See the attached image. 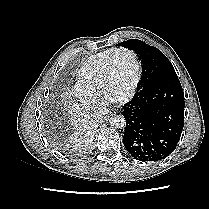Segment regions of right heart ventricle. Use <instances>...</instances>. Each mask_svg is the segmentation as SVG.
Segmentation results:
<instances>
[{"label":"right heart ventricle","mask_w":209,"mask_h":209,"mask_svg":"<svg viewBox=\"0 0 209 209\" xmlns=\"http://www.w3.org/2000/svg\"><path fill=\"white\" fill-rule=\"evenodd\" d=\"M115 49L102 51L86 60L77 72V87L97 97L103 95L104 70Z\"/></svg>","instance_id":"right-heart-ventricle-1"}]
</instances>
